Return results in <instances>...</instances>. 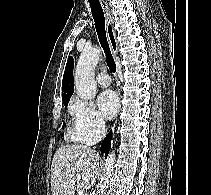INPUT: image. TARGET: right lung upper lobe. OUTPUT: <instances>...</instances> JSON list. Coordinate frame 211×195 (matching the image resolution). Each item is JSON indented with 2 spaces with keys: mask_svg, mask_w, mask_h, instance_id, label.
<instances>
[{
  "mask_svg": "<svg viewBox=\"0 0 211 195\" xmlns=\"http://www.w3.org/2000/svg\"><path fill=\"white\" fill-rule=\"evenodd\" d=\"M73 66H74L73 58L69 57L66 67H65L63 81H62L63 103L69 102L70 97L72 96L74 92Z\"/></svg>",
  "mask_w": 211,
  "mask_h": 195,
  "instance_id": "right-lung-upper-lobe-1",
  "label": "right lung upper lobe"
}]
</instances>
